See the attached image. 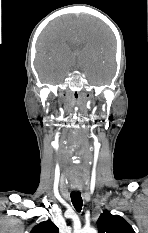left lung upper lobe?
Here are the masks:
<instances>
[{
	"label": "left lung upper lobe",
	"instance_id": "1",
	"mask_svg": "<svg viewBox=\"0 0 148 233\" xmlns=\"http://www.w3.org/2000/svg\"><path fill=\"white\" fill-rule=\"evenodd\" d=\"M97 226L99 233H135L131 225L119 215L105 210L100 215Z\"/></svg>",
	"mask_w": 148,
	"mask_h": 233
}]
</instances>
